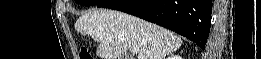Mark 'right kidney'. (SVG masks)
Instances as JSON below:
<instances>
[{
    "label": "right kidney",
    "mask_w": 261,
    "mask_h": 59,
    "mask_svg": "<svg viewBox=\"0 0 261 59\" xmlns=\"http://www.w3.org/2000/svg\"><path fill=\"white\" fill-rule=\"evenodd\" d=\"M168 59H181V57L177 55V56L168 57Z\"/></svg>",
    "instance_id": "obj_1"
}]
</instances>
